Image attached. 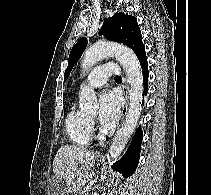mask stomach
I'll list each match as a JSON object with an SVG mask.
<instances>
[{"label":"stomach","mask_w":211,"mask_h":195,"mask_svg":"<svg viewBox=\"0 0 211 195\" xmlns=\"http://www.w3.org/2000/svg\"><path fill=\"white\" fill-rule=\"evenodd\" d=\"M98 161L101 162V159H98ZM54 179H55L56 181H54ZM54 179H53V185H55L56 187H60V188L63 187V188H64V187L66 186L65 182H64L62 179L57 178V177H55ZM56 195H62V194H61L60 191H57V192H56Z\"/></svg>","instance_id":"1"}]
</instances>
